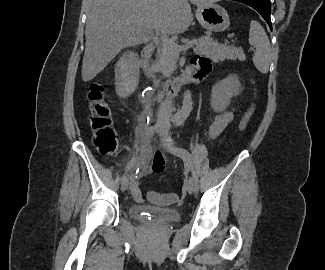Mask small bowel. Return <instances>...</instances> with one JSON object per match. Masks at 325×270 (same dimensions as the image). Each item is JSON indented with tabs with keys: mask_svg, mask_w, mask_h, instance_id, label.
<instances>
[{
	"mask_svg": "<svg viewBox=\"0 0 325 270\" xmlns=\"http://www.w3.org/2000/svg\"><path fill=\"white\" fill-rule=\"evenodd\" d=\"M189 69V74L193 78L202 79L210 73L212 69V63L211 60L204 55L194 56L190 61ZM233 118V109L218 114L208 128L209 136L215 137L220 134L233 121ZM163 167L164 163L161 159H158L154 164L155 171H161ZM131 191L132 196L135 200L140 201L142 199L139 185L134 181V179H132Z\"/></svg>",
	"mask_w": 325,
	"mask_h": 270,
	"instance_id": "1",
	"label": "small bowel"
}]
</instances>
